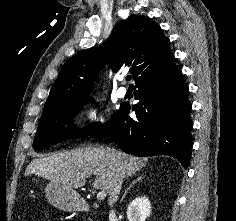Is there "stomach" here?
<instances>
[{
	"mask_svg": "<svg viewBox=\"0 0 236 221\" xmlns=\"http://www.w3.org/2000/svg\"><path fill=\"white\" fill-rule=\"evenodd\" d=\"M45 193L49 202L63 211H73L81 203V198L75 190L67 189L52 181L47 184Z\"/></svg>",
	"mask_w": 236,
	"mask_h": 221,
	"instance_id": "0dacf381",
	"label": "stomach"
}]
</instances>
